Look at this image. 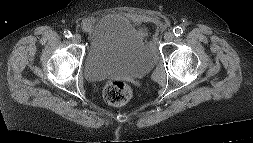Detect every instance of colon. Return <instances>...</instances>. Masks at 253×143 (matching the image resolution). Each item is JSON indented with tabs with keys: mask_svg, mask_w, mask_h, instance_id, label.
<instances>
[{
	"mask_svg": "<svg viewBox=\"0 0 253 143\" xmlns=\"http://www.w3.org/2000/svg\"><path fill=\"white\" fill-rule=\"evenodd\" d=\"M133 94L132 87L124 81L109 83L104 90L105 100L115 106H121L130 101Z\"/></svg>",
	"mask_w": 253,
	"mask_h": 143,
	"instance_id": "5ec220e1",
	"label": "colon"
}]
</instances>
